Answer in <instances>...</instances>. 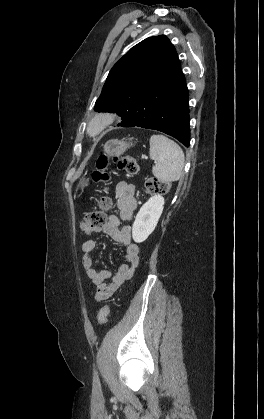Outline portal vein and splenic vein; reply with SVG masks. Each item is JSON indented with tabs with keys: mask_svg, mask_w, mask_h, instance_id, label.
Listing matches in <instances>:
<instances>
[{
	"mask_svg": "<svg viewBox=\"0 0 264 419\" xmlns=\"http://www.w3.org/2000/svg\"><path fill=\"white\" fill-rule=\"evenodd\" d=\"M144 159H147V157L145 156V157H143Z\"/></svg>",
	"mask_w": 264,
	"mask_h": 419,
	"instance_id": "portal-vein-and-splenic-vein-1",
	"label": "portal vein and splenic vein"
}]
</instances>
